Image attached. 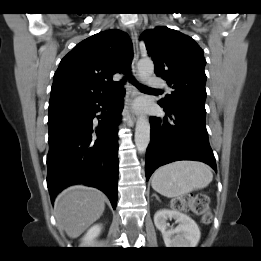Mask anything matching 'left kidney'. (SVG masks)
Listing matches in <instances>:
<instances>
[{
    "instance_id": "left-kidney-1",
    "label": "left kidney",
    "mask_w": 261,
    "mask_h": 261,
    "mask_svg": "<svg viewBox=\"0 0 261 261\" xmlns=\"http://www.w3.org/2000/svg\"><path fill=\"white\" fill-rule=\"evenodd\" d=\"M175 219L179 225L168 229V219ZM154 223L161 231L164 243L168 248H194L197 246L201 232L196 222L178 210H159L154 215Z\"/></svg>"
}]
</instances>
